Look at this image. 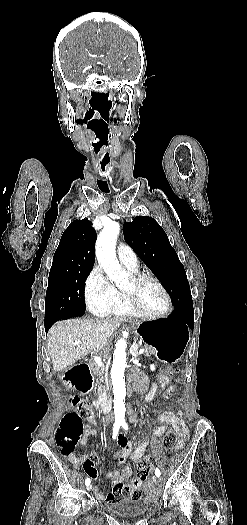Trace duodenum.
Returning <instances> with one entry per match:
<instances>
[{
    "label": "duodenum",
    "instance_id": "410a0bca",
    "mask_svg": "<svg viewBox=\"0 0 247 525\" xmlns=\"http://www.w3.org/2000/svg\"><path fill=\"white\" fill-rule=\"evenodd\" d=\"M65 382L72 388L86 394L92 387V375L90 370V363L87 361H79L74 367L64 374ZM93 405L100 413H108L112 407L111 396L105 393L93 401Z\"/></svg>",
    "mask_w": 247,
    "mask_h": 525
}]
</instances>
